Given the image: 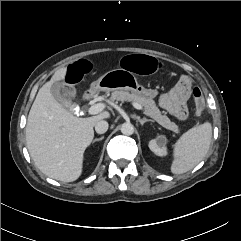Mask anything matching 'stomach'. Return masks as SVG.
Returning <instances> with one entry per match:
<instances>
[{"mask_svg": "<svg viewBox=\"0 0 241 241\" xmlns=\"http://www.w3.org/2000/svg\"><path fill=\"white\" fill-rule=\"evenodd\" d=\"M91 89L105 92L127 90L152 99L158 95L157 90L144 88L138 83L132 71H126L123 68L105 73L98 80L92 82Z\"/></svg>", "mask_w": 241, "mask_h": 241, "instance_id": "1", "label": "stomach"}]
</instances>
